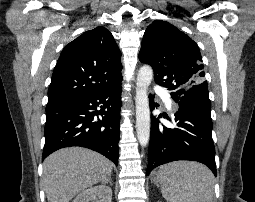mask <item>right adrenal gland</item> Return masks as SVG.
<instances>
[{"label":"right adrenal gland","instance_id":"obj_1","mask_svg":"<svg viewBox=\"0 0 255 202\" xmlns=\"http://www.w3.org/2000/svg\"><path fill=\"white\" fill-rule=\"evenodd\" d=\"M110 184V186L113 185L112 180H111V175H109L104 181H102V184L106 185V184Z\"/></svg>","mask_w":255,"mask_h":202}]
</instances>
